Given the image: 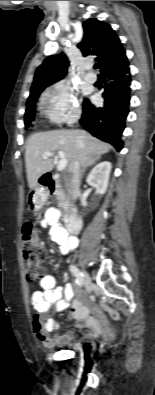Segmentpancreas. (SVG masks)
I'll use <instances>...</instances> for the list:
<instances>
[{
	"label": "pancreas",
	"mask_w": 155,
	"mask_h": 395,
	"mask_svg": "<svg viewBox=\"0 0 155 395\" xmlns=\"http://www.w3.org/2000/svg\"><path fill=\"white\" fill-rule=\"evenodd\" d=\"M56 198L58 200V206L67 209V195L65 194V191L61 188L60 185H58V189L55 192Z\"/></svg>",
	"instance_id": "obj_1"
}]
</instances>
